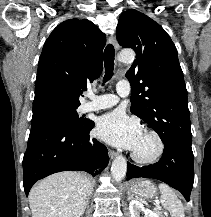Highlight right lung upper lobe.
Returning a JSON list of instances; mask_svg holds the SVG:
<instances>
[{
	"mask_svg": "<svg viewBox=\"0 0 211 217\" xmlns=\"http://www.w3.org/2000/svg\"><path fill=\"white\" fill-rule=\"evenodd\" d=\"M105 34L91 21L69 19L46 40L38 63L32 119L77 109L87 83L102 72Z\"/></svg>",
	"mask_w": 211,
	"mask_h": 217,
	"instance_id": "cb5924a9",
	"label": "right lung upper lobe"
}]
</instances>
